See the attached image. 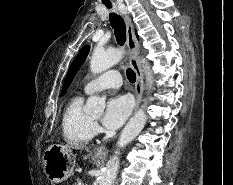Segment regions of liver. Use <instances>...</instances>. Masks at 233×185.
I'll return each instance as SVG.
<instances>
[{"instance_id": "1", "label": "liver", "mask_w": 233, "mask_h": 185, "mask_svg": "<svg viewBox=\"0 0 233 185\" xmlns=\"http://www.w3.org/2000/svg\"><path fill=\"white\" fill-rule=\"evenodd\" d=\"M62 147H64V148H68L67 146H62Z\"/></svg>"}]
</instances>
